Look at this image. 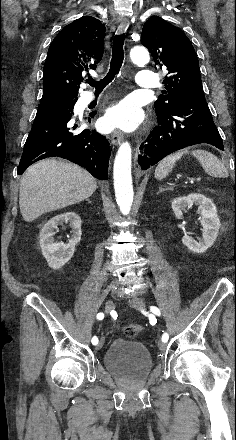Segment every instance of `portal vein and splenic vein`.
<instances>
[{"label":"portal vein and splenic vein","mask_w":236,"mask_h":440,"mask_svg":"<svg viewBox=\"0 0 236 440\" xmlns=\"http://www.w3.org/2000/svg\"><path fill=\"white\" fill-rule=\"evenodd\" d=\"M197 181H200L201 180V178L200 177H198L197 179H196Z\"/></svg>","instance_id":"obj_1"}]
</instances>
